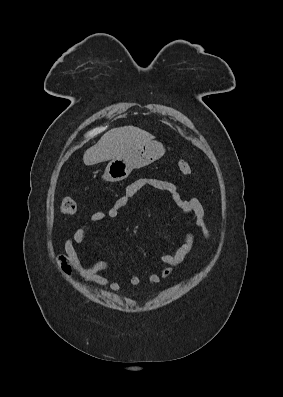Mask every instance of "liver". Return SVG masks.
<instances>
[{
    "label": "liver",
    "instance_id": "obj_1",
    "mask_svg": "<svg viewBox=\"0 0 283 397\" xmlns=\"http://www.w3.org/2000/svg\"><path fill=\"white\" fill-rule=\"evenodd\" d=\"M153 139V135L134 126L113 128L86 150L83 156L84 164L89 166L124 158L139 146L152 142Z\"/></svg>",
    "mask_w": 283,
    "mask_h": 397
}]
</instances>
